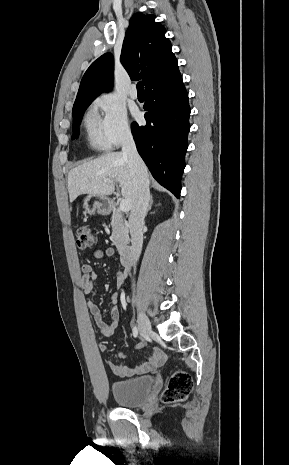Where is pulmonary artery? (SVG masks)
Instances as JSON below:
<instances>
[{
	"label": "pulmonary artery",
	"instance_id": "pulmonary-artery-1",
	"mask_svg": "<svg viewBox=\"0 0 289 465\" xmlns=\"http://www.w3.org/2000/svg\"><path fill=\"white\" fill-rule=\"evenodd\" d=\"M129 95L132 99L138 98V92L135 85H132L129 90Z\"/></svg>",
	"mask_w": 289,
	"mask_h": 465
}]
</instances>
